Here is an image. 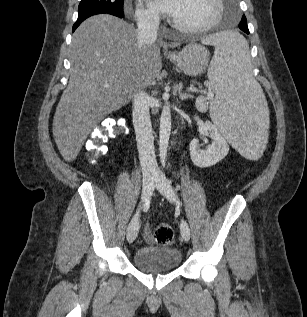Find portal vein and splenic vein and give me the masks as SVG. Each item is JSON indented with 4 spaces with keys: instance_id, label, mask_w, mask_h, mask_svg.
<instances>
[{
    "instance_id": "obj_1",
    "label": "portal vein and splenic vein",
    "mask_w": 307,
    "mask_h": 317,
    "mask_svg": "<svg viewBox=\"0 0 307 317\" xmlns=\"http://www.w3.org/2000/svg\"><path fill=\"white\" fill-rule=\"evenodd\" d=\"M104 87H105V88H108L109 85H108V84H105ZM189 90L192 91V92H198V89L195 88L194 86H190V87H189ZM213 98H214V93H213L211 90L208 91V93H207V99H213Z\"/></svg>"
}]
</instances>
